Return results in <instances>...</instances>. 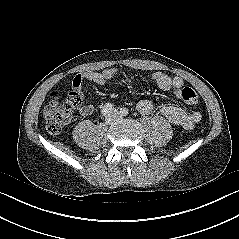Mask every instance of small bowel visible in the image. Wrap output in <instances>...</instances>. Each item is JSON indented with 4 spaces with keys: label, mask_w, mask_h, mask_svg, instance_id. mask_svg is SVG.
<instances>
[{
    "label": "small bowel",
    "mask_w": 239,
    "mask_h": 239,
    "mask_svg": "<svg viewBox=\"0 0 239 239\" xmlns=\"http://www.w3.org/2000/svg\"><path fill=\"white\" fill-rule=\"evenodd\" d=\"M117 75V69L110 67L102 71H89L83 75H76L72 80L73 91L77 94L80 105L78 111L83 116L91 115L94 112L93 104H85L84 96L82 93V85L84 81L96 85H105L108 81L112 80ZM152 82L161 90L173 91L177 96H181V90L184 82L182 78L175 76L170 77L163 72H155L151 76ZM137 110L143 114H149L153 109V103L150 100H140L136 104ZM161 113L165 116L172 124L182 127L185 130H190L201 120V114L199 111L187 112L184 109L176 105H166L162 107Z\"/></svg>",
    "instance_id": "small-bowel-1"
}]
</instances>
